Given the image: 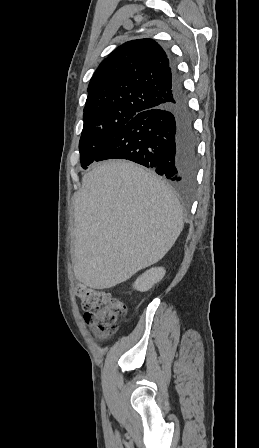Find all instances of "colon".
I'll list each match as a JSON object with an SVG mask.
<instances>
[{
    "label": "colon",
    "mask_w": 259,
    "mask_h": 448,
    "mask_svg": "<svg viewBox=\"0 0 259 448\" xmlns=\"http://www.w3.org/2000/svg\"><path fill=\"white\" fill-rule=\"evenodd\" d=\"M84 320L102 336L114 334L118 328V318L125 316L127 307L123 301L110 292L82 286L77 290Z\"/></svg>",
    "instance_id": "obj_1"
}]
</instances>
